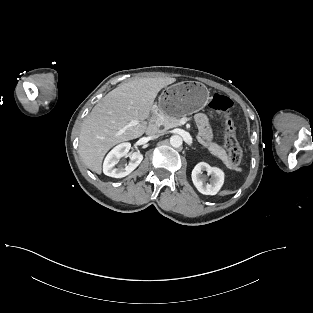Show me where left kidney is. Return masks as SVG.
Segmentation results:
<instances>
[{"mask_svg":"<svg viewBox=\"0 0 313 313\" xmlns=\"http://www.w3.org/2000/svg\"><path fill=\"white\" fill-rule=\"evenodd\" d=\"M203 171L211 175L210 183L206 182V178L202 175ZM191 177L197 190L205 195L217 194L224 183L223 171L217 167H211L205 162H200L194 167Z\"/></svg>","mask_w":313,"mask_h":313,"instance_id":"1","label":"left kidney"}]
</instances>
